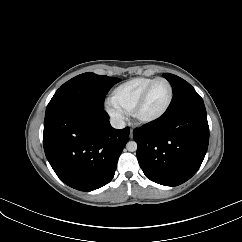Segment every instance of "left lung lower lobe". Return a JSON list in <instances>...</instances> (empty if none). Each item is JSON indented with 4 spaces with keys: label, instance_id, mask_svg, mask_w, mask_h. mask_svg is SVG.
<instances>
[{
    "label": "left lung lower lobe",
    "instance_id": "1",
    "mask_svg": "<svg viewBox=\"0 0 242 242\" xmlns=\"http://www.w3.org/2000/svg\"><path fill=\"white\" fill-rule=\"evenodd\" d=\"M137 158L151 181L177 186L199 169L209 142V126L202 102L167 111L158 120L136 128Z\"/></svg>",
    "mask_w": 242,
    "mask_h": 242
}]
</instances>
